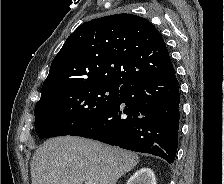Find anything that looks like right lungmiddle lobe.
Segmentation results:
<instances>
[{
  "mask_svg": "<svg viewBox=\"0 0 224 184\" xmlns=\"http://www.w3.org/2000/svg\"><path fill=\"white\" fill-rule=\"evenodd\" d=\"M122 86L82 83L37 103L34 115L38 137L69 135L94 120L118 99Z\"/></svg>",
  "mask_w": 224,
  "mask_h": 184,
  "instance_id": "obj_1",
  "label": "right lung middle lobe"
}]
</instances>
